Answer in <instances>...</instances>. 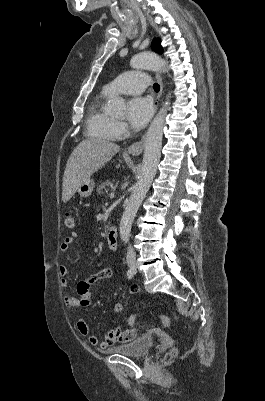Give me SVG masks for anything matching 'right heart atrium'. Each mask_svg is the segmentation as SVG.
Returning <instances> with one entry per match:
<instances>
[{
	"label": "right heart atrium",
	"instance_id": "1",
	"mask_svg": "<svg viewBox=\"0 0 265 401\" xmlns=\"http://www.w3.org/2000/svg\"><path fill=\"white\" fill-rule=\"evenodd\" d=\"M114 129L118 137H123L127 134V127L123 122H115Z\"/></svg>",
	"mask_w": 265,
	"mask_h": 401
}]
</instances>
